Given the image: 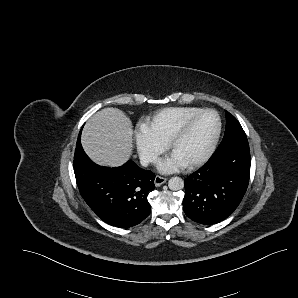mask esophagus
<instances>
[{
	"instance_id": "34e87169",
	"label": "esophagus",
	"mask_w": 298,
	"mask_h": 298,
	"mask_svg": "<svg viewBox=\"0 0 298 298\" xmlns=\"http://www.w3.org/2000/svg\"><path fill=\"white\" fill-rule=\"evenodd\" d=\"M166 181H167V179L165 177H162L159 175H157L154 179V183L157 187L164 184Z\"/></svg>"
}]
</instances>
